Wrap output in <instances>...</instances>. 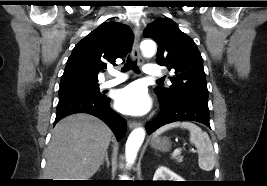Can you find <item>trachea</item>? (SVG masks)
Returning a JSON list of instances; mask_svg holds the SVG:
<instances>
[{"label":"trachea","mask_w":267,"mask_h":186,"mask_svg":"<svg viewBox=\"0 0 267 186\" xmlns=\"http://www.w3.org/2000/svg\"><path fill=\"white\" fill-rule=\"evenodd\" d=\"M133 70L135 72H139L138 66H137V60H132L130 56H128L126 63L124 64L123 71ZM158 81H161L159 79Z\"/></svg>","instance_id":"obj_1"}]
</instances>
